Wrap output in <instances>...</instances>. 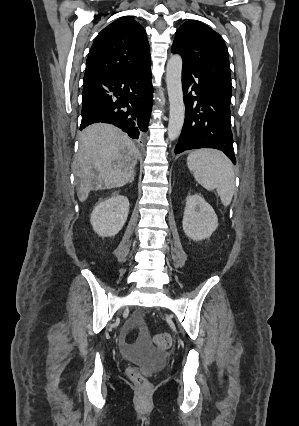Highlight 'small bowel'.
<instances>
[{"label":"small bowel","mask_w":299,"mask_h":426,"mask_svg":"<svg viewBox=\"0 0 299 426\" xmlns=\"http://www.w3.org/2000/svg\"><path fill=\"white\" fill-rule=\"evenodd\" d=\"M138 319H135L134 321H133V324H137L138 323ZM124 348H125V350H126V352L129 354V355H133V354H135V349H134V347H133V345L132 344H130V343H127V342H124Z\"/></svg>","instance_id":"c3829d8e"}]
</instances>
